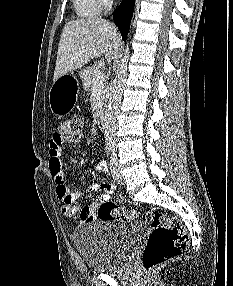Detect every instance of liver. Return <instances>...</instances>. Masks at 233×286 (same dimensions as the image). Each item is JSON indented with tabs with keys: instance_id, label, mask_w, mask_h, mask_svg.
Segmentation results:
<instances>
[{
	"instance_id": "1",
	"label": "liver",
	"mask_w": 233,
	"mask_h": 286,
	"mask_svg": "<svg viewBox=\"0 0 233 286\" xmlns=\"http://www.w3.org/2000/svg\"><path fill=\"white\" fill-rule=\"evenodd\" d=\"M119 45L117 29L109 21L89 18L68 22L61 34L53 81L102 54L110 61Z\"/></svg>"
}]
</instances>
